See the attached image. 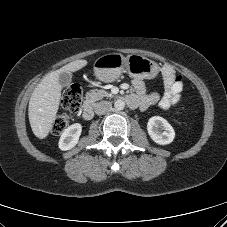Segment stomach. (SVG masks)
<instances>
[{"mask_svg": "<svg viewBox=\"0 0 227 227\" xmlns=\"http://www.w3.org/2000/svg\"><path fill=\"white\" fill-rule=\"evenodd\" d=\"M124 71L131 77L151 79L158 74L159 66L156 62L138 54L124 57L119 53H109L94 62L95 76L104 82L115 81Z\"/></svg>", "mask_w": 227, "mask_h": 227, "instance_id": "0dacf381", "label": "stomach"}]
</instances>
